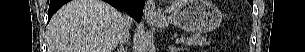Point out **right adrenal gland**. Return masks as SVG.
<instances>
[{
	"mask_svg": "<svg viewBox=\"0 0 305 52\" xmlns=\"http://www.w3.org/2000/svg\"><path fill=\"white\" fill-rule=\"evenodd\" d=\"M116 52H126V49L123 45H120V47L117 48Z\"/></svg>",
	"mask_w": 305,
	"mask_h": 52,
	"instance_id": "2a0ac1e0",
	"label": "right adrenal gland"
}]
</instances>
